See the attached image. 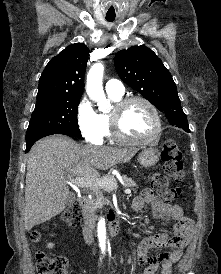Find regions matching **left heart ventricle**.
<instances>
[{
  "label": "left heart ventricle",
  "instance_id": "b2bd125f",
  "mask_svg": "<svg viewBox=\"0 0 221 274\" xmlns=\"http://www.w3.org/2000/svg\"><path fill=\"white\" fill-rule=\"evenodd\" d=\"M122 132L133 139L148 137L154 129L151 111L141 102L130 104L120 118Z\"/></svg>",
  "mask_w": 221,
  "mask_h": 274
}]
</instances>
